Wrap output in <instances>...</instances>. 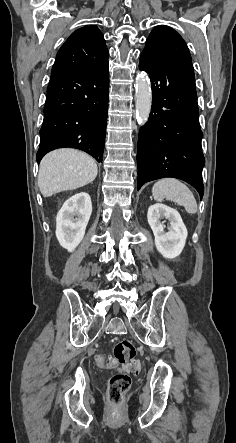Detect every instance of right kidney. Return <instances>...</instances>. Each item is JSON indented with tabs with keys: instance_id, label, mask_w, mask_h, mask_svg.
I'll list each match as a JSON object with an SVG mask.
<instances>
[{
	"instance_id": "obj_1",
	"label": "right kidney",
	"mask_w": 236,
	"mask_h": 443,
	"mask_svg": "<svg viewBox=\"0 0 236 443\" xmlns=\"http://www.w3.org/2000/svg\"><path fill=\"white\" fill-rule=\"evenodd\" d=\"M92 213L89 194L80 192L65 201L56 217V237L60 245L72 252L82 241Z\"/></svg>"
}]
</instances>
